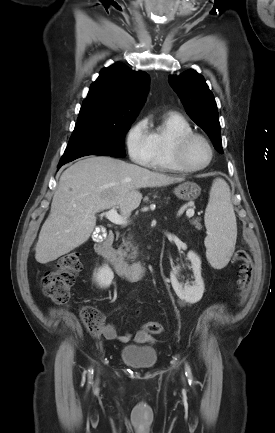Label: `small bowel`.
Wrapping results in <instances>:
<instances>
[{
  "mask_svg": "<svg viewBox=\"0 0 275 433\" xmlns=\"http://www.w3.org/2000/svg\"><path fill=\"white\" fill-rule=\"evenodd\" d=\"M138 313V312H137ZM103 335L106 339L113 340L117 339L122 343H127L132 339V335L130 333L118 334L117 329L114 324L107 323L103 327ZM134 340L137 343H154L155 339L148 333L143 330H139L134 335Z\"/></svg>",
  "mask_w": 275,
  "mask_h": 433,
  "instance_id": "c3829d8e",
  "label": "small bowel"
}]
</instances>
